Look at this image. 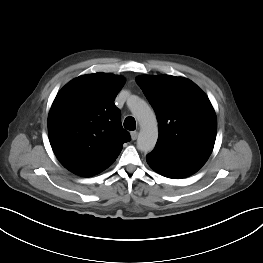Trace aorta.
Listing matches in <instances>:
<instances>
[{
	"instance_id": "1",
	"label": "aorta",
	"mask_w": 263,
	"mask_h": 263,
	"mask_svg": "<svg viewBox=\"0 0 263 263\" xmlns=\"http://www.w3.org/2000/svg\"><path fill=\"white\" fill-rule=\"evenodd\" d=\"M128 105L140 125L137 148L145 153L151 152L159 134L156 115L144 100L136 96L128 100Z\"/></svg>"
}]
</instances>
